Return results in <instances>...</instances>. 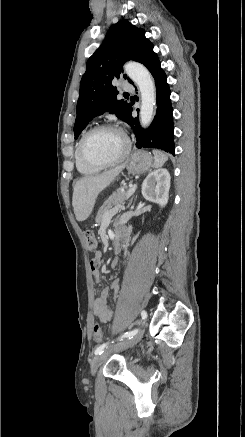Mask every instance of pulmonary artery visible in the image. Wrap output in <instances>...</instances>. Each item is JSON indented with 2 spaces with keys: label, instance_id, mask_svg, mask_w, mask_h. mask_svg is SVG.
I'll return each instance as SVG.
<instances>
[{
  "label": "pulmonary artery",
  "instance_id": "pulmonary-artery-1",
  "mask_svg": "<svg viewBox=\"0 0 245 437\" xmlns=\"http://www.w3.org/2000/svg\"><path fill=\"white\" fill-rule=\"evenodd\" d=\"M121 89L123 91H132L133 90V86L131 84H129L128 82H124L121 85Z\"/></svg>",
  "mask_w": 245,
  "mask_h": 437
}]
</instances>
